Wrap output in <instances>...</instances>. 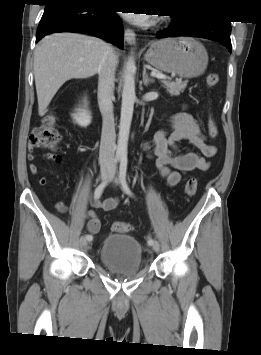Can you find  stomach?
I'll use <instances>...</instances> for the list:
<instances>
[{
    "label": "stomach",
    "instance_id": "stomach-1",
    "mask_svg": "<svg viewBox=\"0 0 261 355\" xmlns=\"http://www.w3.org/2000/svg\"><path fill=\"white\" fill-rule=\"evenodd\" d=\"M145 60L160 71L194 78L206 70L208 54L205 47L194 38L177 37L152 42Z\"/></svg>",
    "mask_w": 261,
    "mask_h": 355
}]
</instances>
